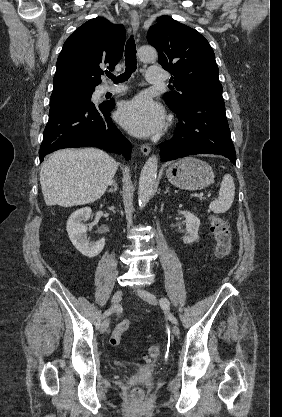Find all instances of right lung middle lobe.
<instances>
[{
  "instance_id": "obj_1",
  "label": "right lung middle lobe",
  "mask_w": 282,
  "mask_h": 417,
  "mask_svg": "<svg viewBox=\"0 0 282 417\" xmlns=\"http://www.w3.org/2000/svg\"><path fill=\"white\" fill-rule=\"evenodd\" d=\"M93 92H94V89L52 94L51 99H50V106L63 103L66 101L74 100V99L91 98V95Z\"/></svg>"
}]
</instances>
